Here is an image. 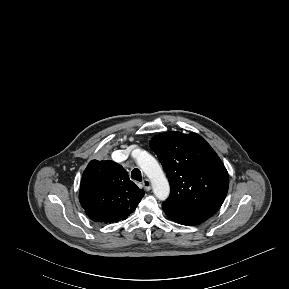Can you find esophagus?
Instances as JSON below:
<instances>
[{
  "label": "esophagus",
  "mask_w": 289,
  "mask_h": 289,
  "mask_svg": "<svg viewBox=\"0 0 289 289\" xmlns=\"http://www.w3.org/2000/svg\"><path fill=\"white\" fill-rule=\"evenodd\" d=\"M142 184L146 191H149L151 189V182L149 179H144Z\"/></svg>",
  "instance_id": "esophagus-1"
}]
</instances>
